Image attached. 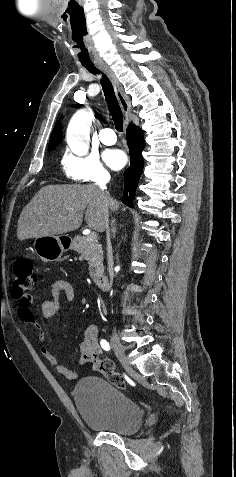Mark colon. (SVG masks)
<instances>
[{"mask_svg": "<svg viewBox=\"0 0 236 477\" xmlns=\"http://www.w3.org/2000/svg\"><path fill=\"white\" fill-rule=\"evenodd\" d=\"M13 287L12 294L19 301V307H31V291L37 282V276L34 271V263L31 258L23 256L18 258L13 266ZM96 368L106 379L115 387L124 389L126 381L122 375L114 370L112 361L108 359H98Z\"/></svg>", "mask_w": 236, "mask_h": 477, "instance_id": "5ec220e1", "label": "colon"}]
</instances>
